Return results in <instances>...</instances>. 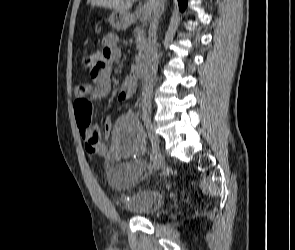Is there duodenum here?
<instances>
[{"label":"duodenum","instance_id":"1","mask_svg":"<svg viewBox=\"0 0 295 250\" xmlns=\"http://www.w3.org/2000/svg\"><path fill=\"white\" fill-rule=\"evenodd\" d=\"M148 70V60L146 55H141L136 61L135 74L137 77H145Z\"/></svg>","mask_w":295,"mask_h":250}]
</instances>
